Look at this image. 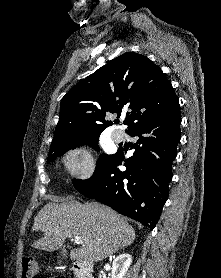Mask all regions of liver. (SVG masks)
I'll return each mask as SVG.
<instances>
[{
	"label": "liver",
	"instance_id": "obj_1",
	"mask_svg": "<svg viewBox=\"0 0 221 278\" xmlns=\"http://www.w3.org/2000/svg\"><path fill=\"white\" fill-rule=\"evenodd\" d=\"M52 200L34 219L33 230L43 231L44 237L34 241L33 248L52 252L59 249L66 238L80 237L84 243L70 252V259L98 262L135 240L132 226L105 205Z\"/></svg>",
	"mask_w": 221,
	"mask_h": 278
}]
</instances>
